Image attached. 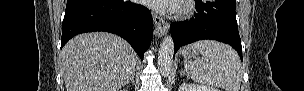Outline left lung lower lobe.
Instances as JSON below:
<instances>
[{"instance_id": "1", "label": "left lung lower lobe", "mask_w": 304, "mask_h": 91, "mask_svg": "<svg viewBox=\"0 0 304 91\" xmlns=\"http://www.w3.org/2000/svg\"><path fill=\"white\" fill-rule=\"evenodd\" d=\"M196 13L190 20L172 23L174 54L183 45L198 40H217L231 45L242 60L241 39L238 32L236 0H195Z\"/></svg>"}]
</instances>
